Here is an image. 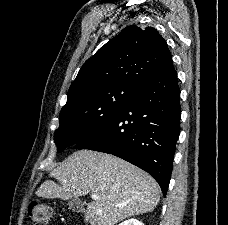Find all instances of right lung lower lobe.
I'll list each match as a JSON object with an SVG mask.
<instances>
[{
  "label": "right lung lower lobe",
  "mask_w": 228,
  "mask_h": 225,
  "mask_svg": "<svg viewBox=\"0 0 228 225\" xmlns=\"http://www.w3.org/2000/svg\"><path fill=\"white\" fill-rule=\"evenodd\" d=\"M180 89L172 60L119 110L75 144L120 157L150 173L167 193L180 133Z\"/></svg>",
  "instance_id": "obj_1"
}]
</instances>
